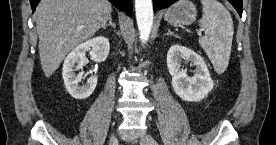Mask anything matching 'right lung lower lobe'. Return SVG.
I'll return each mask as SVG.
<instances>
[{
    "mask_svg": "<svg viewBox=\"0 0 276 145\" xmlns=\"http://www.w3.org/2000/svg\"><path fill=\"white\" fill-rule=\"evenodd\" d=\"M40 0H30L32 11H35V8ZM116 8L125 11L129 16L132 14V0H108Z\"/></svg>",
    "mask_w": 276,
    "mask_h": 145,
    "instance_id": "1",
    "label": "right lung lower lobe"
}]
</instances>
